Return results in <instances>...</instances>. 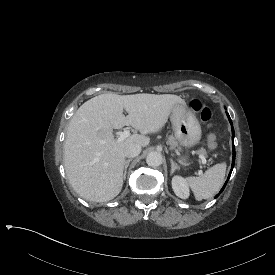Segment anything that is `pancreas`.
<instances>
[{"label": "pancreas", "mask_w": 275, "mask_h": 275, "mask_svg": "<svg viewBox=\"0 0 275 275\" xmlns=\"http://www.w3.org/2000/svg\"><path fill=\"white\" fill-rule=\"evenodd\" d=\"M166 144L170 146V149H175L178 145L176 139L173 136L168 137ZM200 152L204 155H207V152L205 149H201Z\"/></svg>", "instance_id": "1"}]
</instances>
